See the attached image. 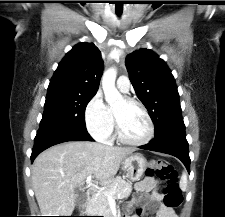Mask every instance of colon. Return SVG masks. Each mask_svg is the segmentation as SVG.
Listing matches in <instances>:
<instances>
[{"label":"colon","instance_id":"obj_1","mask_svg":"<svg viewBox=\"0 0 225 217\" xmlns=\"http://www.w3.org/2000/svg\"><path fill=\"white\" fill-rule=\"evenodd\" d=\"M148 176H157L165 182L163 203L170 208H178L182 204V192L178 185V173L174 167L160 159L152 160L147 170Z\"/></svg>","mask_w":225,"mask_h":217}]
</instances>
